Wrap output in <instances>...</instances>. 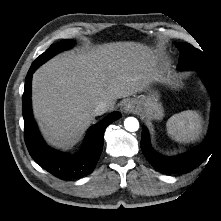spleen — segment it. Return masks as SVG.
<instances>
[{
  "label": "spleen",
  "mask_w": 221,
  "mask_h": 221,
  "mask_svg": "<svg viewBox=\"0 0 221 221\" xmlns=\"http://www.w3.org/2000/svg\"><path fill=\"white\" fill-rule=\"evenodd\" d=\"M166 127L172 139L180 143H189L199 137L202 118L197 111L186 110L171 116Z\"/></svg>",
  "instance_id": "1"
}]
</instances>
